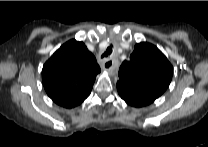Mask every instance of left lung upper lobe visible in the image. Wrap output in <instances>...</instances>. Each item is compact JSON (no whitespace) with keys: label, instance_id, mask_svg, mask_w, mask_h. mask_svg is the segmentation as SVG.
<instances>
[{"label":"left lung upper lobe","instance_id":"left-lung-upper-lobe-1","mask_svg":"<svg viewBox=\"0 0 208 147\" xmlns=\"http://www.w3.org/2000/svg\"><path fill=\"white\" fill-rule=\"evenodd\" d=\"M117 86L158 98L168 88L173 67L154 45L142 42L135 45L129 61L119 69Z\"/></svg>","mask_w":208,"mask_h":147}]
</instances>
